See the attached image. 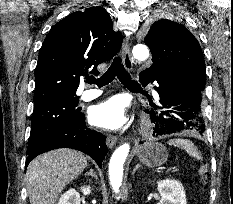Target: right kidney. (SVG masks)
Wrapping results in <instances>:
<instances>
[{
  "mask_svg": "<svg viewBox=\"0 0 233 204\" xmlns=\"http://www.w3.org/2000/svg\"><path fill=\"white\" fill-rule=\"evenodd\" d=\"M81 192L84 195H89L91 193V187L83 186L81 187ZM58 204H80V194L75 189H69L61 196Z\"/></svg>",
  "mask_w": 233,
  "mask_h": 204,
  "instance_id": "ca27d5eb",
  "label": "right kidney"
}]
</instances>
